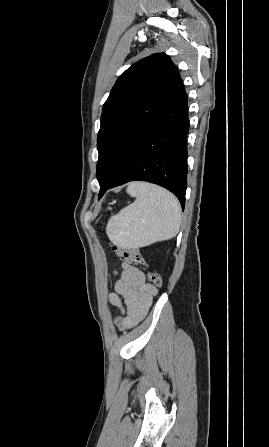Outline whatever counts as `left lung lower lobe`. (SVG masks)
<instances>
[{"instance_id": "0a47b994", "label": "left lung lower lobe", "mask_w": 269, "mask_h": 447, "mask_svg": "<svg viewBox=\"0 0 269 447\" xmlns=\"http://www.w3.org/2000/svg\"><path fill=\"white\" fill-rule=\"evenodd\" d=\"M187 96L181 79L165 114L145 133L119 175L101 187L99 198L112 187L142 180L174 193L184 209L187 187Z\"/></svg>"}]
</instances>
